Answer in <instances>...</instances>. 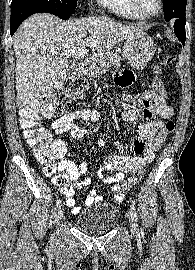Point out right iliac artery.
I'll return each mask as SVG.
<instances>
[{"instance_id": "1", "label": "right iliac artery", "mask_w": 195, "mask_h": 270, "mask_svg": "<svg viewBox=\"0 0 195 270\" xmlns=\"http://www.w3.org/2000/svg\"><path fill=\"white\" fill-rule=\"evenodd\" d=\"M61 202H62L61 199H58L57 202H56V206L59 207Z\"/></svg>"}]
</instances>
